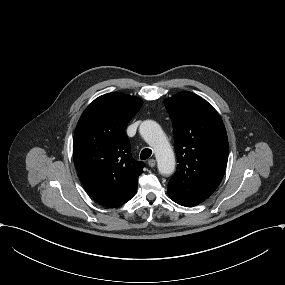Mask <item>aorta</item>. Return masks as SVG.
I'll return each instance as SVG.
<instances>
[{"label": "aorta", "instance_id": "obj_1", "mask_svg": "<svg viewBox=\"0 0 285 285\" xmlns=\"http://www.w3.org/2000/svg\"><path fill=\"white\" fill-rule=\"evenodd\" d=\"M139 132L153 148L159 172L162 175L172 174L175 169L174 153L159 124L153 120H146L141 123Z\"/></svg>", "mask_w": 285, "mask_h": 285}]
</instances>
